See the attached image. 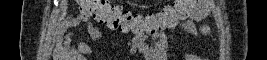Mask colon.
<instances>
[{"label": "colon", "mask_w": 267, "mask_h": 60, "mask_svg": "<svg viewBox=\"0 0 267 60\" xmlns=\"http://www.w3.org/2000/svg\"><path fill=\"white\" fill-rule=\"evenodd\" d=\"M80 13L121 32L158 34L177 26L183 19L189 0H176L160 13L134 15L104 0H79Z\"/></svg>", "instance_id": "obj_1"}]
</instances>
